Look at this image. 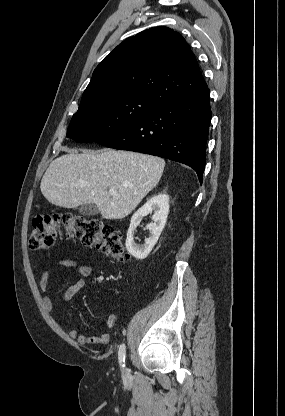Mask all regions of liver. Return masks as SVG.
Returning a JSON list of instances; mask_svg holds the SVG:
<instances>
[{"mask_svg":"<svg viewBox=\"0 0 285 416\" xmlns=\"http://www.w3.org/2000/svg\"><path fill=\"white\" fill-rule=\"evenodd\" d=\"M62 150L68 154L51 162L41 180L44 198L60 208L96 204L105 220L129 216L156 188L165 166L162 158L137 152Z\"/></svg>","mask_w":285,"mask_h":416,"instance_id":"liver-1","label":"liver"}]
</instances>
